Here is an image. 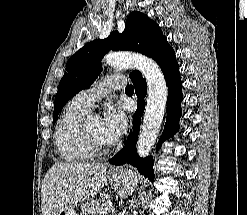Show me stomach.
<instances>
[{
  "label": "stomach",
  "mask_w": 247,
  "mask_h": 215,
  "mask_svg": "<svg viewBox=\"0 0 247 215\" xmlns=\"http://www.w3.org/2000/svg\"><path fill=\"white\" fill-rule=\"evenodd\" d=\"M109 178L115 190L122 195L129 193L137 183V177L130 170L121 171ZM57 215H76V212L73 206L66 205Z\"/></svg>",
  "instance_id": "stomach-1"
}]
</instances>
